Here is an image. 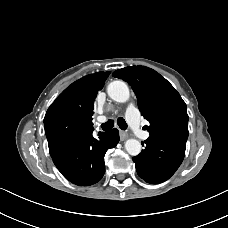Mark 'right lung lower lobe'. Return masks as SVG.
<instances>
[{
	"label": "right lung lower lobe",
	"mask_w": 228,
	"mask_h": 228,
	"mask_svg": "<svg viewBox=\"0 0 228 228\" xmlns=\"http://www.w3.org/2000/svg\"><path fill=\"white\" fill-rule=\"evenodd\" d=\"M82 131L49 146L54 164L73 184L89 186L97 183L105 173L104 156L108 149L119 142V132L112 129L100 132Z\"/></svg>",
	"instance_id": "98d812e1"
}]
</instances>
